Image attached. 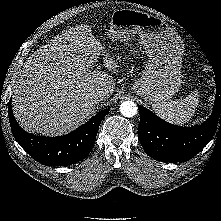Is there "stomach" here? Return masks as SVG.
<instances>
[{"label": "stomach", "instance_id": "1", "mask_svg": "<svg viewBox=\"0 0 221 221\" xmlns=\"http://www.w3.org/2000/svg\"><path fill=\"white\" fill-rule=\"evenodd\" d=\"M136 34L139 35L148 62L131 89L152 106L164 104L181 87L183 41L161 18L135 9L115 10L110 19L108 37L128 41Z\"/></svg>", "mask_w": 221, "mask_h": 221}]
</instances>
